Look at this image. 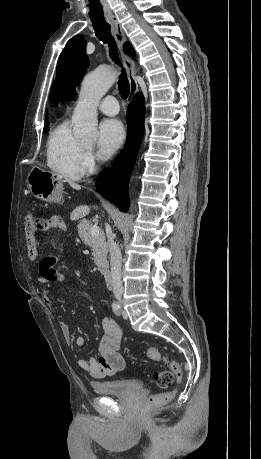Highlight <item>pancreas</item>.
I'll use <instances>...</instances> for the list:
<instances>
[{"label": "pancreas", "mask_w": 261, "mask_h": 459, "mask_svg": "<svg viewBox=\"0 0 261 459\" xmlns=\"http://www.w3.org/2000/svg\"><path fill=\"white\" fill-rule=\"evenodd\" d=\"M92 226L91 222L85 219L81 220L78 224V234L84 244L91 247L94 262L100 268L107 263V244L103 231H100L96 236H91Z\"/></svg>", "instance_id": "pancreas-1"}]
</instances>
